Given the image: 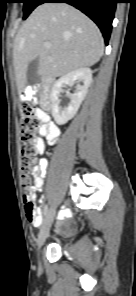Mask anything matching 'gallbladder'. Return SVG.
I'll return each instance as SVG.
<instances>
[{
	"label": "gallbladder",
	"instance_id": "bac80fb5",
	"mask_svg": "<svg viewBox=\"0 0 136 296\" xmlns=\"http://www.w3.org/2000/svg\"><path fill=\"white\" fill-rule=\"evenodd\" d=\"M39 58H35L33 61H31L27 68V82L30 84L37 83L39 81Z\"/></svg>",
	"mask_w": 136,
	"mask_h": 296
}]
</instances>
